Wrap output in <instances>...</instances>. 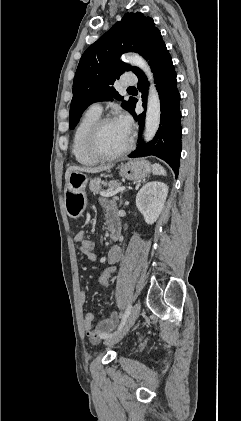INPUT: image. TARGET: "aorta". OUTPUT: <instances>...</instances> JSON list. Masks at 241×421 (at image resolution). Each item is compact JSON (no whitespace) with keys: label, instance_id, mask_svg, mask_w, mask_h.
<instances>
[{"label":"aorta","instance_id":"1","mask_svg":"<svg viewBox=\"0 0 241 421\" xmlns=\"http://www.w3.org/2000/svg\"><path fill=\"white\" fill-rule=\"evenodd\" d=\"M123 60L133 66H137L142 69L150 81L144 132V140L148 142L154 138L159 128L161 115L160 100L158 92L153 83V75L146 61L140 55L135 53H128L123 56Z\"/></svg>","mask_w":241,"mask_h":421}]
</instances>
